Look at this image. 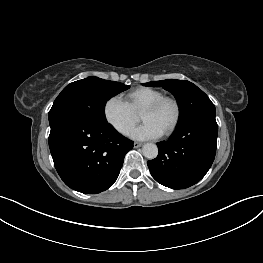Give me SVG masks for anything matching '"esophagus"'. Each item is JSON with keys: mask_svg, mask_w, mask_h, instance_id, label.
I'll return each instance as SVG.
<instances>
[{"mask_svg": "<svg viewBox=\"0 0 263 263\" xmlns=\"http://www.w3.org/2000/svg\"><path fill=\"white\" fill-rule=\"evenodd\" d=\"M133 146H134V148H138V147H141V146H142V143H140V142H134Z\"/></svg>", "mask_w": 263, "mask_h": 263, "instance_id": "1", "label": "esophagus"}]
</instances>
